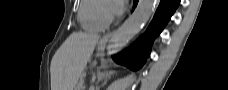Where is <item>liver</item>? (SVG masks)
I'll return each instance as SVG.
<instances>
[{"label": "liver", "mask_w": 228, "mask_h": 90, "mask_svg": "<svg viewBox=\"0 0 228 90\" xmlns=\"http://www.w3.org/2000/svg\"><path fill=\"white\" fill-rule=\"evenodd\" d=\"M99 35L73 32L52 58L51 90H74L86 67Z\"/></svg>", "instance_id": "liver-1"}]
</instances>
